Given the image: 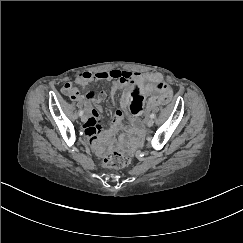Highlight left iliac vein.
<instances>
[{"label":"left iliac vein","instance_id":"4c4485c4","mask_svg":"<svg viewBox=\"0 0 243 243\" xmlns=\"http://www.w3.org/2000/svg\"><path fill=\"white\" fill-rule=\"evenodd\" d=\"M153 124H154V120H153L152 118H151V119H148L147 122H146V125H147L148 127L153 126Z\"/></svg>","mask_w":243,"mask_h":243}]
</instances>
